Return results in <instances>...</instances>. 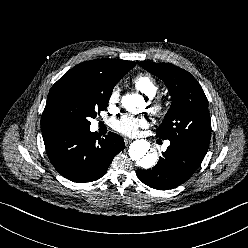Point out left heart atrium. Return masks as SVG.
Returning a JSON list of instances; mask_svg holds the SVG:
<instances>
[{"instance_id":"39dd6f15","label":"left heart atrium","mask_w":248,"mask_h":248,"mask_svg":"<svg viewBox=\"0 0 248 248\" xmlns=\"http://www.w3.org/2000/svg\"><path fill=\"white\" fill-rule=\"evenodd\" d=\"M147 125L148 121L143 117L124 116L114 123V128L122 134L135 136L140 128H144Z\"/></svg>"}]
</instances>
